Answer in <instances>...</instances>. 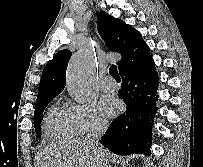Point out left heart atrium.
Returning <instances> with one entry per match:
<instances>
[{
    "instance_id": "39dd6f15",
    "label": "left heart atrium",
    "mask_w": 203,
    "mask_h": 167,
    "mask_svg": "<svg viewBox=\"0 0 203 167\" xmlns=\"http://www.w3.org/2000/svg\"><path fill=\"white\" fill-rule=\"evenodd\" d=\"M100 109L107 117H113L118 113L120 109V103L113 96H104L100 100Z\"/></svg>"
}]
</instances>
